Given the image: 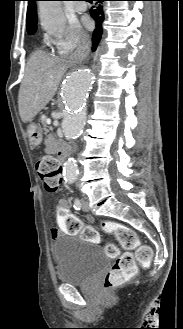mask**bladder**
I'll return each instance as SVG.
<instances>
[{
  "mask_svg": "<svg viewBox=\"0 0 183 329\" xmlns=\"http://www.w3.org/2000/svg\"><path fill=\"white\" fill-rule=\"evenodd\" d=\"M52 252L58 280L64 284L87 285L109 267V258L101 247L74 234L57 237Z\"/></svg>",
  "mask_w": 183,
  "mask_h": 329,
  "instance_id": "31cf9c89",
  "label": "bladder"
}]
</instances>
